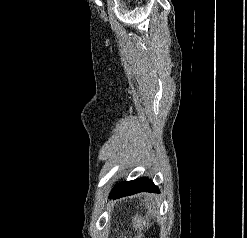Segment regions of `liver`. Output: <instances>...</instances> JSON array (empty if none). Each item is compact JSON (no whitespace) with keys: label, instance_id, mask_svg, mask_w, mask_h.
Wrapping results in <instances>:
<instances>
[{"label":"liver","instance_id":"6515ba94","mask_svg":"<svg viewBox=\"0 0 247 238\" xmlns=\"http://www.w3.org/2000/svg\"><path fill=\"white\" fill-rule=\"evenodd\" d=\"M151 212V208L148 205V215ZM132 224H133V228H135V230H139L137 233V237L136 238H142L143 234H142V229L143 226L145 227H149V222H148V216L146 215V219H143L142 217L135 215L132 219Z\"/></svg>","mask_w":247,"mask_h":238}]
</instances>
